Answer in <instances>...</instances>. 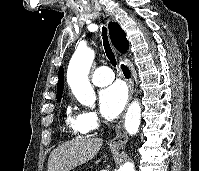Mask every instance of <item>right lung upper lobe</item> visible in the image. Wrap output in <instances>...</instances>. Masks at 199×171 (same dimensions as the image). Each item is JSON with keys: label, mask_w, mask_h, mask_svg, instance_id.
Here are the masks:
<instances>
[{"label": "right lung upper lobe", "mask_w": 199, "mask_h": 171, "mask_svg": "<svg viewBox=\"0 0 199 171\" xmlns=\"http://www.w3.org/2000/svg\"><path fill=\"white\" fill-rule=\"evenodd\" d=\"M110 37L113 45L121 53H125L129 47V43L126 39L125 32L122 30L119 24L110 22L108 25ZM59 81L57 86V99H61L64 86V69L60 67L58 73Z\"/></svg>", "instance_id": "cb5924a9"}]
</instances>
